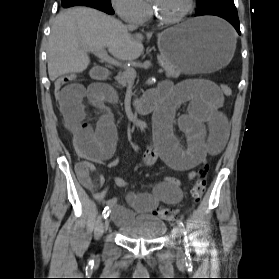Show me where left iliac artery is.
<instances>
[{
    "label": "left iliac artery",
    "mask_w": 279,
    "mask_h": 279,
    "mask_svg": "<svg viewBox=\"0 0 279 279\" xmlns=\"http://www.w3.org/2000/svg\"><path fill=\"white\" fill-rule=\"evenodd\" d=\"M178 225H179V227L181 228V231H182L183 235L185 236V237H184L185 242L187 243V242H188V239H187V232H186V229H185V226H184L183 222L179 220V221H178ZM187 247H188V244H187Z\"/></svg>",
    "instance_id": "left-iliac-artery-1"
}]
</instances>
